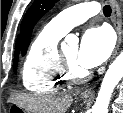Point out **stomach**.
Instances as JSON below:
<instances>
[{
	"label": "stomach",
	"instance_id": "0dacf381",
	"mask_svg": "<svg viewBox=\"0 0 123 113\" xmlns=\"http://www.w3.org/2000/svg\"><path fill=\"white\" fill-rule=\"evenodd\" d=\"M82 99L86 100L87 97L82 96ZM9 109L10 112H23V109L16 104L11 105Z\"/></svg>",
	"mask_w": 123,
	"mask_h": 113
}]
</instances>
